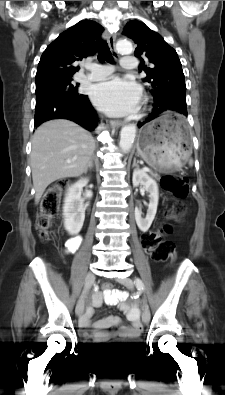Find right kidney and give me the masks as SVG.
<instances>
[{
  "label": "right kidney",
  "instance_id": "1",
  "mask_svg": "<svg viewBox=\"0 0 225 395\" xmlns=\"http://www.w3.org/2000/svg\"><path fill=\"white\" fill-rule=\"evenodd\" d=\"M84 178L73 184L67 191L63 205L64 227L71 234H78L85 219L84 200L81 198L82 188L88 183Z\"/></svg>",
  "mask_w": 225,
  "mask_h": 395
}]
</instances>
